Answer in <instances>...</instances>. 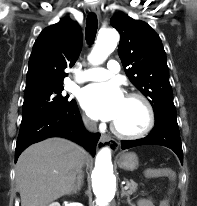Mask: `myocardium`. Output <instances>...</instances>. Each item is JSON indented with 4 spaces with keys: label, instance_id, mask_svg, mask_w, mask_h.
I'll return each mask as SVG.
<instances>
[{
    "label": "myocardium",
    "instance_id": "f54148a6",
    "mask_svg": "<svg viewBox=\"0 0 197 206\" xmlns=\"http://www.w3.org/2000/svg\"><path fill=\"white\" fill-rule=\"evenodd\" d=\"M127 99H135L141 102L146 112V124L143 129L137 132H125L120 130L114 123L111 124L112 132L121 138L137 139L146 136L153 128L155 123V114L149 99L141 93L131 92L126 96Z\"/></svg>",
    "mask_w": 197,
    "mask_h": 206
}]
</instances>
